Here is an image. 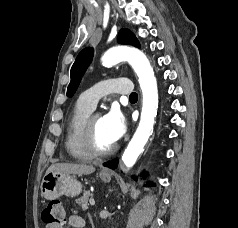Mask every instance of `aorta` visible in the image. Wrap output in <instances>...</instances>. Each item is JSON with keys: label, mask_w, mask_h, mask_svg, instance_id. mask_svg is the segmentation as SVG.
I'll return each instance as SVG.
<instances>
[{"label": "aorta", "mask_w": 238, "mask_h": 228, "mask_svg": "<svg viewBox=\"0 0 238 228\" xmlns=\"http://www.w3.org/2000/svg\"><path fill=\"white\" fill-rule=\"evenodd\" d=\"M122 61H127L137 74L143 97L139 125L122 155L123 163L130 168L136 163L152 135L158 109V89L150 61L142 51L133 47L117 46L110 48L101 57V62L106 67Z\"/></svg>", "instance_id": "obj_1"}]
</instances>
